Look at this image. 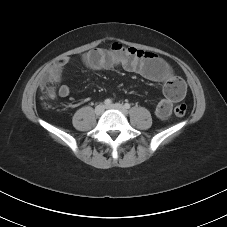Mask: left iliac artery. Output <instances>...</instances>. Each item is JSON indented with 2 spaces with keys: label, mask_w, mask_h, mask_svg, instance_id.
Here are the masks:
<instances>
[{
  "label": "left iliac artery",
  "mask_w": 227,
  "mask_h": 227,
  "mask_svg": "<svg viewBox=\"0 0 227 227\" xmlns=\"http://www.w3.org/2000/svg\"><path fill=\"white\" fill-rule=\"evenodd\" d=\"M124 107H125L126 109H129V108L131 107V105H130L129 103H126V104L124 105Z\"/></svg>",
  "instance_id": "44dca946"
}]
</instances>
